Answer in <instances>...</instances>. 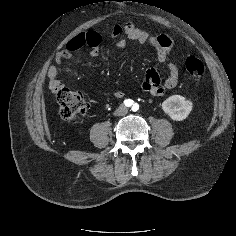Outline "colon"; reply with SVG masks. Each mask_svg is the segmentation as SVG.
Returning <instances> with one entry per match:
<instances>
[{
  "label": "colon",
  "mask_w": 236,
  "mask_h": 236,
  "mask_svg": "<svg viewBox=\"0 0 236 236\" xmlns=\"http://www.w3.org/2000/svg\"><path fill=\"white\" fill-rule=\"evenodd\" d=\"M187 73L194 79H200L205 72L203 62L196 57H188L185 61ZM59 113L63 120L73 122L86 111L87 101L80 92L61 87L56 92Z\"/></svg>",
  "instance_id": "1"
}]
</instances>
